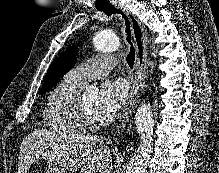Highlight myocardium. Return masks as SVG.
Instances as JSON below:
<instances>
[{
  "label": "myocardium",
  "mask_w": 219,
  "mask_h": 173,
  "mask_svg": "<svg viewBox=\"0 0 219 173\" xmlns=\"http://www.w3.org/2000/svg\"><path fill=\"white\" fill-rule=\"evenodd\" d=\"M74 112L76 117L85 125V126H94L98 123L97 117L91 116L88 114L80 103V97H76L74 101Z\"/></svg>",
  "instance_id": "obj_1"
}]
</instances>
